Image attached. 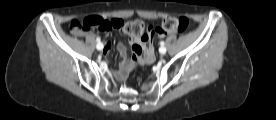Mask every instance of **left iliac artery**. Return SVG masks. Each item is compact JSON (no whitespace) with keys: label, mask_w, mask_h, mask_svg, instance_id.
<instances>
[{"label":"left iliac artery","mask_w":276,"mask_h":120,"mask_svg":"<svg viewBox=\"0 0 276 120\" xmlns=\"http://www.w3.org/2000/svg\"><path fill=\"white\" fill-rule=\"evenodd\" d=\"M164 44H165L164 41H161V42H160V45H161L162 47L164 46Z\"/></svg>","instance_id":"44dca946"}]
</instances>
